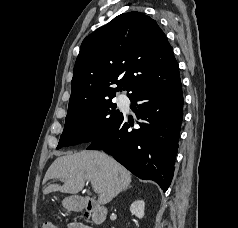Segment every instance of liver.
Returning <instances> with one entry per match:
<instances>
[{
  "mask_svg": "<svg viewBox=\"0 0 238 228\" xmlns=\"http://www.w3.org/2000/svg\"><path fill=\"white\" fill-rule=\"evenodd\" d=\"M60 179L63 185L48 184L43 194L60 191L79 193L85 182L99 194L98 202L109 203L131 183V174L113 158L100 151H82L58 157L47 170L43 182Z\"/></svg>",
  "mask_w": 238,
  "mask_h": 228,
  "instance_id": "1",
  "label": "liver"
}]
</instances>
